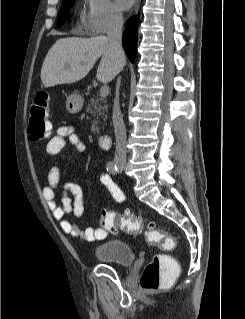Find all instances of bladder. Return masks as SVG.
<instances>
[{
  "instance_id": "31cf9c89",
  "label": "bladder",
  "mask_w": 245,
  "mask_h": 319,
  "mask_svg": "<svg viewBox=\"0 0 245 319\" xmlns=\"http://www.w3.org/2000/svg\"><path fill=\"white\" fill-rule=\"evenodd\" d=\"M94 256L100 262H111L129 266L134 262V250L131 244L121 239H109L94 249Z\"/></svg>"
}]
</instances>
